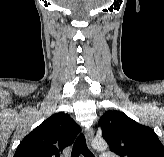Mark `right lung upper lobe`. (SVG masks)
Wrapping results in <instances>:
<instances>
[{
    "instance_id": "right-lung-upper-lobe-1",
    "label": "right lung upper lobe",
    "mask_w": 164,
    "mask_h": 157,
    "mask_svg": "<svg viewBox=\"0 0 164 157\" xmlns=\"http://www.w3.org/2000/svg\"><path fill=\"white\" fill-rule=\"evenodd\" d=\"M80 126L66 113H56L29 133L19 144L13 157H61L70 146Z\"/></svg>"
}]
</instances>
